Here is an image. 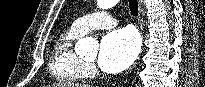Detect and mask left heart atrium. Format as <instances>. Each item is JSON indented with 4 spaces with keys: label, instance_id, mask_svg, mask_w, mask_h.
I'll use <instances>...</instances> for the list:
<instances>
[{
    "label": "left heart atrium",
    "instance_id": "left-heart-atrium-1",
    "mask_svg": "<svg viewBox=\"0 0 205 87\" xmlns=\"http://www.w3.org/2000/svg\"><path fill=\"white\" fill-rule=\"evenodd\" d=\"M140 41L136 32L121 28L108 33L102 40L98 63L106 72H119L130 66L136 59Z\"/></svg>",
    "mask_w": 205,
    "mask_h": 87
}]
</instances>
